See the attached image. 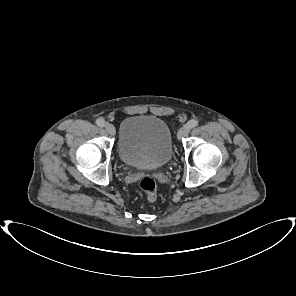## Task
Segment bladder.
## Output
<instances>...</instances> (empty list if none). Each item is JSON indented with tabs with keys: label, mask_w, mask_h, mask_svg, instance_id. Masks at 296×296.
<instances>
[{
	"label": "bladder",
	"mask_w": 296,
	"mask_h": 296,
	"mask_svg": "<svg viewBox=\"0 0 296 296\" xmlns=\"http://www.w3.org/2000/svg\"><path fill=\"white\" fill-rule=\"evenodd\" d=\"M120 160L133 168L153 170L165 166L172 157V137L165 121L154 116H130L120 125Z\"/></svg>",
	"instance_id": "obj_1"
}]
</instances>
